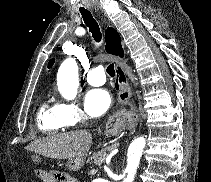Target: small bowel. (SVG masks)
<instances>
[{"mask_svg": "<svg viewBox=\"0 0 211 182\" xmlns=\"http://www.w3.org/2000/svg\"><path fill=\"white\" fill-rule=\"evenodd\" d=\"M44 176H45V171H42L41 173H40V177H41V179L43 180V181H45L44 180ZM69 176V175H68ZM68 182H76L73 178H71L70 176H69V180H68Z\"/></svg>", "mask_w": 211, "mask_h": 182, "instance_id": "obj_1", "label": "small bowel"}]
</instances>
